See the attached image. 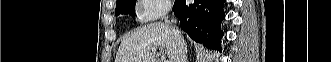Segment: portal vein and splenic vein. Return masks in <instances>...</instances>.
<instances>
[{
    "instance_id": "1",
    "label": "portal vein and splenic vein",
    "mask_w": 331,
    "mask_h": 62,
    "mask_svg": "<svg viewBox=\"0 0 331 62\" xmlns=\"http://www.w3.org/2000/svg\"><path fill=\"white\" fill-rule=\"evenodd\" d=\"M156 48H152V52H155ZM165 62H170L169 60H166Z\"/></svg>"
}]
</instances>
